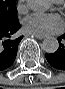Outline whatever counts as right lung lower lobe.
I'll return each mask as SVG.
<instances>
[{"instance_id":"obj_1","label":"right lung lower lobe","mask_w":65,"mask_h":89,"mask_svg":"<svg viewBox=\"0 0 65 89\" xmlns=\"http://www.w3.org/2000/svg\"><path fill=\"white\" fill-rule=\"evenodd\" d=\"M19 28V22L0 24V71L9 68L16 58L18 44L23 38V36L16 37Z\"/></svg>"}]
</instances>
